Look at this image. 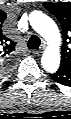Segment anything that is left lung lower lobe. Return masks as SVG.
<instances>
[{
  "instance_id": "0a47b994",
  "label": "left lung lower lobe",
  "mask_w": 71,
  "mask_h": 119,
  "mask_svg": "<svg viewBox=\"0 0 71 119\" xmlns=\"http://www.w3.org/2000/svg\"><path fill=\"white\" fill-rule=\"evenodd\" d=\"M54 81L65 86H71V69L60 67L57 72L49 75Z\"/></svg>"
}]
</instances>
